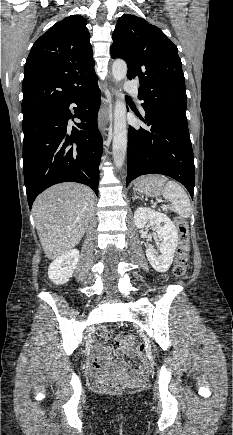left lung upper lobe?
I'll list each match as a JSON object with an SVG mask.
<instances>
[{
    "label": "left lung upper lobe",
    "instance_id": "5c2ea615",
    "mask_svg": "<svg viewBox=\"0 0 233 435\" xmlns=\"http://www.w3.org/2000/svg\"><path fill=\"white\" fill-rule=\"evenodd\" d=\"M112 58L128 65L127 78L139 80L144 109L186 115L187 96L177 47L156 26L124 14L116 24Z\"/></svg>",
    "mask_w": 233,
    "mask_h": 435
}]
</instances>
